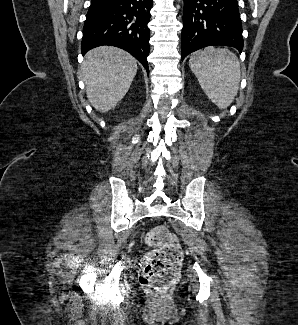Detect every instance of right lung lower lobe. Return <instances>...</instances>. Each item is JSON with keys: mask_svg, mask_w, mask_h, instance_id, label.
<instances>
[{"mask_svg": "<svg viewBox=\"0 0 298 325\" xmlns=\"http://www.w3.org/2000/svg\"><path fill=\"white\" fill-rule=\"evenodd\" d=\"M153 0H91L81 50L111 45L133 55L149 74L150 10Z\"/></svg>", "mask_w": 298, "mask_h": 325, "instance_id": "obj_1", "label": "right lung lower lobe"}]
</instances>
